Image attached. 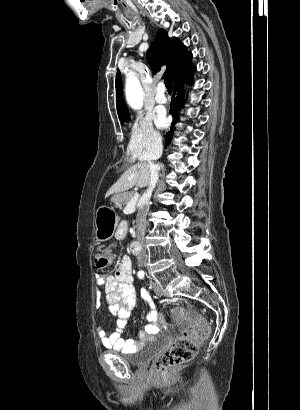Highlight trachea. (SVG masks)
Masks as SVG:
<instances>
[{
	"label": "trachea",
	"mask_w": 300,
	"mask_h": 410,
	"mask_svg": "<svg viewBox=\"0 0 300 410\" xmlns=\"http://www.w3.org/2000/svg\"><path fill=\"white\" fill-rule=\"evenodd\" d=\"M164 84L166 86L167 91H172V86L169 78L164 79Z\"/></svg>",
	"instance_id": "trachea-1"
}]
</instances>
